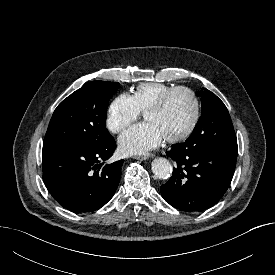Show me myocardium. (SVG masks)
<instances>
[{"label":"myocardium","mask_w":275,"mask_h":275,"mask_svg":"<svg viewBox=\"0 0 275 275\" xmlns=\"http://www.w3.org/2000/svg\"><path fill=\"white\" fill-rule=\"evenodd\" d=\"M179 91L187 92L191 96L192 101H193V116H192L190 124L188 125V127L183 132H181L177 135L168 136V137L164 138L167 142H170V143L182 142V141L186 140L187 138H189L193 134V132L195 131V129L198 125V122H199V118H200V102H199V98H198L196 92L193 89H191L187 86L172 87L171 89H169L165 93H163L145 111V113H147V112H150V111H159V110H161L165 106V104L167 103L169 98L173 94H175L176 92H179Z\"/></svg>","instance_id":"f54148a6"}]
</instances>
